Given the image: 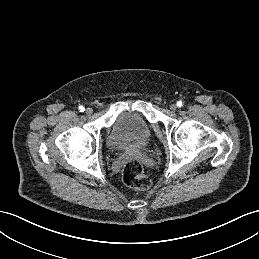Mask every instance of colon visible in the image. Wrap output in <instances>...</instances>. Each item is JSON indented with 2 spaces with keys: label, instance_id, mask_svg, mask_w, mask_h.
Segmentation results:
<instances>
[{
  "label": "colon",
  "instance_id": "1",
  "mask_svg": "<svg viewBox=\"0 0 259 259\" xmlns=\"http://www.w3.org/2000/svg\"><path fill=\"white\" fill-rule=\"evenodd\" d=\"M122 178L126 186L136 191L148 190L152 185L151 179L144 173L143 165L137 159H130L126 162Z\"/></svg>",
  "mask_w": 259,
  "mask_h": 259
}]
</instances>
